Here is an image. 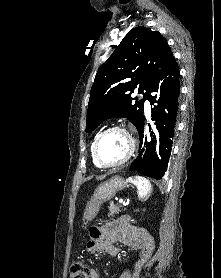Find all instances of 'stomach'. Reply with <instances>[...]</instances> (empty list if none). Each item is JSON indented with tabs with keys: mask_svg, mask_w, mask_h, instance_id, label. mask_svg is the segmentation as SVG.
Listing matches in <instances>:
<instances>
[{
	"mask_svg": "<svg viewBox=\"0 0 221 278\" xmlns=\"http://www.w3.org/2000/svg\"><path fill=\"white\" fill-rule=\"evenodd\" d=\"M126 182L120 176H114L111 179L101 183L93 193L92 198L87 203L84 219L86 222L91 221L99 212L101 204L112 199L118 191L125 189Z\"/></svg>",
	"mask_w": 221,
	"mask_h": 278,
	"instance_id": "1",
	"label": "stomach"
}]
</instances>
